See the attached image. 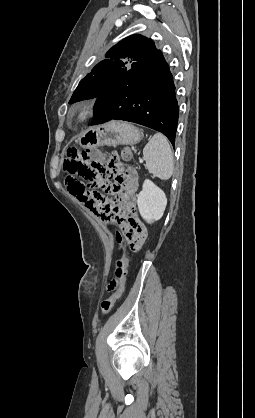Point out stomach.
Here are the masks:
<instances>
[{"instance_id": "0dacf381", "label": "stomach", "mask_w": 255, "mask_h": 418, "mask_svg": "<svg viewBox=\"0 0 255 418\" xmlns=\"http://www.w3.org/2000/svg\"><path fill=\"white\" fill-rule=\"evenodd\" d=\"M143 137L142 131L125 122H111L105 125L90 127L79 138L83 148H95L101 145H133Z\"/></svg>"}]
</instances>
